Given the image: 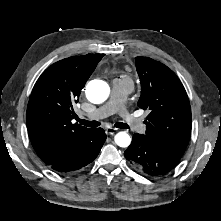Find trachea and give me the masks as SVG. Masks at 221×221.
<instances>
[{"instance_id":"3493384b","label":"trachea","mask_w":221,"mask_h":221,"mask_svg":"<svg viewBox=\"0 0 221 221\" xmlns=\"http://www.w3.org/2000/svg\"><path fill=\"white\" fill-rule=\"evenodd\" d=\"M78 122H80L82 125H85L87 127H98L100 125V122L98 121H87V120L78 119ZM115 127L120 128V129L129 128V126L123 122H117L115 124Z\"/></svg>"}]
</instances>
